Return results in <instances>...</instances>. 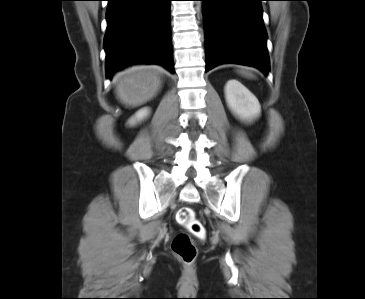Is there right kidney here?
I'll use <instances>...</instances> for the list:
<instances>
[{
  "label": "right kidney",
  "instance_id": "right-kidney-1",
  "mask_svg": "<svg viewBox=\"0 0 365 299\" xmlns=\"http://www.w3.org/2000/svg\"><path fill=\"white\" fill-rule=\"evenodd\" d=\"M150 114L149 108L145 107L135 113L133 117L128 121L129 125H135L137 122L142 121Z\"/></svg>",
  "mask_w": 365,
  "mask_h": 299
}]
</instances>
